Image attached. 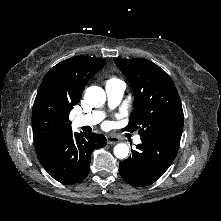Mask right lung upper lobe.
I'll list each match as a JSON object with an SVG mask.
<instances>
[{
    "mask_svg": "<svg viewBox=\"0 0 221 221\" xmlns=\"http://www.w3.org/2000/svg\"><path fill=\"white\" fill-rule=\"evenodd\" d=\"M106 60L75 56L55 65L43 79L33 105L32 123L38 153L72 133L69 113L82 97L88 79Z\"/></svg>",
    "mask_w": 221,
    "mask_h": 221,
    "instance_id": "obj_1",
    "label": "right lung upper lobe"
}]
</instances>
